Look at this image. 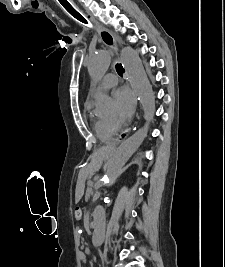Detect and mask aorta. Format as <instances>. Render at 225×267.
<instances>
[{
  "instance_id": "obj_1",
  "label": "aorta",
  "mask_w": 225,
  "mask_h": 267,
  "mask_svg": "<svg viewBox=\"0 0 225 267\" xmlns=\"http://www.w3.org/2000/svg\"><path fill=\"white\" fill-rule=\"evenodd\" d=\"M121 62L125 68L128 80L138 95L144 111L146 125L139 129L134 135L125 140L114 153L105 172L106 183L112 184L129 158L136 152L144 141L148 125L153 120L155 112V98L152 87L147 78L142 61L137 52L131 47H125L121 51ZM111 58L107 51L101 50L88 62V72L95 80H100L107 72ZM111 99L101 95L96 101L99 110H106L111 106ZM94 233L92 243L94 246L102 244L105 236V209L97 205L93 212Z\"/></svg>"
}]
</instances>
